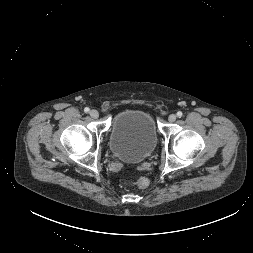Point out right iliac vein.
<instances>
[{
    "label": "right iliac vein",
    "instance_id": "right-iliac-vein-1",
    "mask_svg": "<svg viewBox=\"0 0 253 253\" xmlns=\"http://www.w3.org/2000/svg\"><path fill=\"white\" fill-rule=\"evenodd\" d=\"M89 114H90V116L92 117V118H98V116H99V113H98V111L97 110H91L90 112H89Z\"/></svg>",
    "mask_w": 253,
    "mask_h": 253
}]
</instances>
